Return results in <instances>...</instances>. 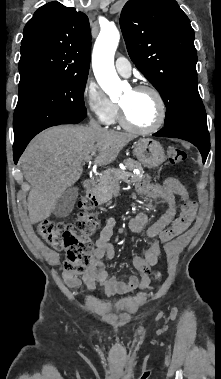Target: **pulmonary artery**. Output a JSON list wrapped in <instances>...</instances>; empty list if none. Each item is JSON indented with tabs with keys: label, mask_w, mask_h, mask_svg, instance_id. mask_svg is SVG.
I'll use <instances>...</instances> for the list:
<instances>
[{
	"label": "pulmonary artery",
	"mask_w": 221,
	"mask_h": 379,
	"mask_svg": "<svg viewBox=\"0 0 221 379\" xmlns=\"http://www.w3.org/2000/svg\"><path fill=\"white\" fill-rule=\"evenodd\" d=\"M115 67H116L117 72L121 76L128 77L131 75V70H132L131 63L125 57L117 58L115 62Z\"/></svg>",
	"instance_id": "obj_1"
}]
</instances>
